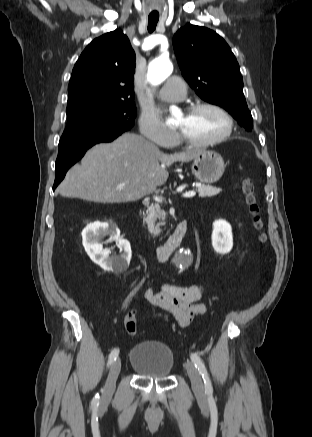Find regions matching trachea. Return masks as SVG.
<instances>
[{"label":"trachea","mask_w":312,"mask_h":437,"mask_svg":"<svg viewBox=\"0 0 312 437\" xmlns=\"http://www.w3.org/2000/svg\"><path fill=\"white\" fill-rule=\"evenodd\" d=\"M159 20V14H150L148 16V31L151 33L155 30Z\"/></svg>","instance_id":"1"}]
</instances>
